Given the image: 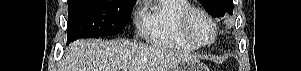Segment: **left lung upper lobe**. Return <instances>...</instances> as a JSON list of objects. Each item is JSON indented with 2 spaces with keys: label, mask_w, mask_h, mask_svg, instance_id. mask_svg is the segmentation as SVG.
Masks as SVG:
<instances>
[{
  "label": "left lung upper lobe",
  "mask_w": 301,
  "mask_h": 71,
  "mask_svg": "<svg viewBox=\"0 0 301 71\" xmlns=\"http://www.w3.org/2000/svg\"><path fill=\"white\" fill-rule=\"evenodd\" d=\"M199 2L213 17L224 16L225 13L233 14L232 0H199Z\"/></svg>",
  "instance_id": "5c2ea615"
}]
</instances>
